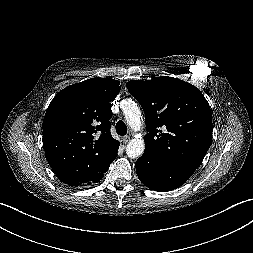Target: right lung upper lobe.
<instances>
[{
  "label": "right lung upper lobe",
  "mask_w": 253,
  "mask_h": 253,
  "mask_svg": "<svg viewBox=\"0 0 253 253\" xmlns=\"http://www.w3.org/2000/svg\"><path fill=\"white\" fill-rule=\"evenodd\" d=\"M120 82L92 78L61 90L43 119V149L64 183H85L106 172L119 141L110 133L111 105Z\"/></svg>",
  "instance_id": "1"
}]
</instances>
